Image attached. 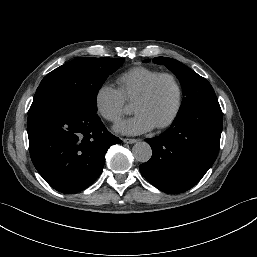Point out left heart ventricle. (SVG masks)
<instances>
[{"mask_svg": "<svg viewBox=\"0 0 257 257\" xmlns=\"http://www.w3.org/2000/svg\"><path fill=\"white\" fill-rule=\"evenodd\" d=\"M177 100V91L174 83L164 78L153 89L150 96L133 104L136 113L144 114L155 126L167 120L172 114Z\"/></svg>", "mask_w": 257, "mask_h": 257, "instance_id": "left-heart-ventricle-1", "label": "left heart ventricle"}]
</instances>
